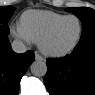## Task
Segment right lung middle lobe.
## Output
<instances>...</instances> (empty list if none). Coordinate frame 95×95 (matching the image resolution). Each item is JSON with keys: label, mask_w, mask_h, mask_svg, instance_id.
<instances>
[{"label": "right lung middle lobe", "mask_w": 95, "mask_h": 95, "mask_svg": "<svg viewBox=\"0 0 95 95\" xmlns=\"http://www.w3.org/2000/svg\"><path fill=\"white\" fill-rule=\"evenodd\" d=\"M14 8L12 6L0 7V31L9 32L8 21L12 15Z\"/></svg>", "instance_id": "dd1d6c3e"}]
</instances>
